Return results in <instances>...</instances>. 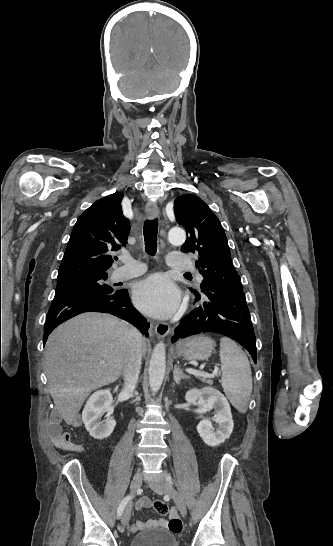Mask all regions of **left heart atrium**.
Wrapping results in <instances>:
<instances>
[{"label":"left heart atrium","mask_w":333,"mask_h":546,"mask_svg":"<svg viewBox=\"0 0 333 546\" xmlns=\"http://www.w3.org/2000/svg\"><path fill=\"white\" fill-rule=\"evenodd\" d=\"M137 307L155 318H168L179 307L180 294L174 283L163 274H153L133 288Z\"/></svg>","instance_id":"1"}]
</instances>
